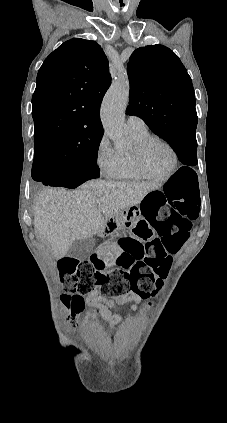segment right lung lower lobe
<instances>
[{"label": "right lung lower lobe", "instance_id": "98d812e1", "mask_svg": "<svg viewBox=\"0 0 227 423\" xmlns=\"http://www.w3.org/2000/svg\"><path fill=\"white\" fill-rule=\"evenodd\" d=\"M32 178L46 186L76 188L91 178H84L72 171L61 168L57 162L46 159L33 163Z\"/></svg>", "mask_w": 227, "mask_h": 423}]
</instances>
